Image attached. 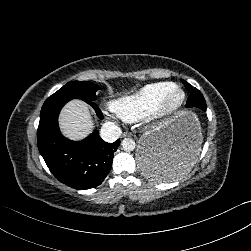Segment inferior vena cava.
<instances>
[{
  "label": "inferior vena cava",
  "mask_w": 251,
  "mask_h": 251,
  "mask_svg": "<svg viewBox=\"0 0 251 251\" xmlns=\"http://www.w3.org/2000/svg\"><path fill=\"white\" fill-rule=\"evenodd\" d=\"M121 135V129L112 122H105L100 131V137L107 143L115 142Z\"/></svg>",
  "instance_id": "inferior-vena-cava-1"
}]
</instances>
